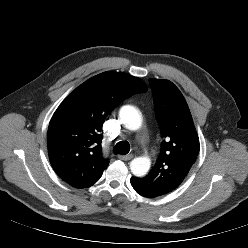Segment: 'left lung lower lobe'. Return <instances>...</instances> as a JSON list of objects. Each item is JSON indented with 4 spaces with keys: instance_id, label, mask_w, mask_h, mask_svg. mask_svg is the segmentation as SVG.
I'll list each match as a JSON object with an SVG mask.
<instances>
[{
    "instance_id": "left-lung-lower-lobe-1",
    "label": "left lung lower lobe",
    "mask_w": 248,
    "mask_h": 248,
    "mask_svg": "<svg viewBox=\"0 0 248 248\" xmlns=\"http://www.w3.org/2000/svg\"><path fill=\"white\" fill-rule=\"evenodd\" d=\"M131 185L132 187L135 189V191L143 196V197H147V198H154L157 197L155 194H153L151 191H149L146 187L138 184L137 182H135L134 180L131 179Z\"/></svg>"
}]
</instances>
